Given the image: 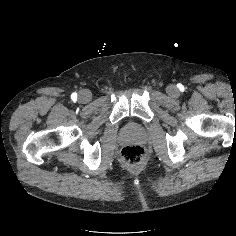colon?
Instances as JSON below:
<instances>
[{"mask_svg": "<svg viewBox=\"0 0 236 236\" xmlns=\"http://www.w3.org/2000/svg\"><path fill=\"white\" fill-rule=\"evenodd\" d=\"M121 158L126 165L135 166L143 162L145 152L139 145H128L122 149Z\"/></svg>", "mask_w": 236, "mask_h": 236, "instance_id": "colon-1", "label": "colon"}]
</instances>
